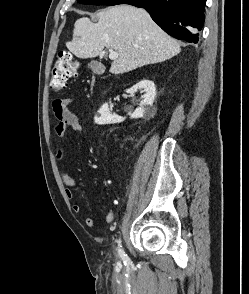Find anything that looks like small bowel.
Returning a JSON list of instances; mask_svg holds the SVG:
<instances>
[{
    "instance_id": "obj_1",
    "label": "small bowel",
    "mask_w": 249,
    "mask_h": 294,
    "mask_svg": "<svg viewBox=\"0 0 249 294\" xmlns=\"http://www.w3.org/2000/svg\"><path fill=\"white\" fill-rule=\"evenodd\" d=\"M71 102L72 98L70 97L57 99L53 102V110L56 118L58 119L56 134L59 138H62L67 130H72L76 133H79L82 130V125L79 118L67 110V106L71 104ZM63 156L64 148L63 146H59L56 152V158L60 160L63 158ZM60 178L63 185L65 186V194L67 198L69 200H73L75 196L73 188L76 186V180L65 173L63 170L60 171ZM115 204H118V201H115ZM72 209L77 214L82 212V207L77 203L72 204ZM114 217V210L110 209L105 215V221L110 224L113 222ZM85 224L89 228H94L97 225L92 217H87Z\"/></svg>"
}]
</instances>
